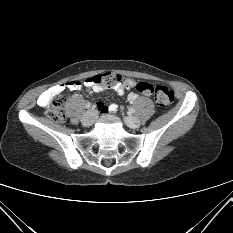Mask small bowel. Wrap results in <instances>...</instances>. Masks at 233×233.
Wrapping results in <instances>:
<instances>
[{"instance_id":"1","label":"small bowel","mask_w":233,"mask_h":233,"mask_svg":"<svg viewBox=\"0 0 233 233\" xmlns=\"http://www.w3.org/2000/svg\"><path fill=\"white\" fill-rule=\"evenodd\" d=\"M133 85L134 83L132 81L125 80V82L117 84L113 86L111 89L121 95L124 93L126 88L131 87ZM82 88H85L89 93L100 92L104 89L102 86L92 85L91 79H86L83 85L77 81H70L64 84L54 86L42 92L37 99V103L39 106H48L52 96L59 92H62L64 89L80 90ZM136 98H137L136 93L131 92L128 95L129 102L135 101ZM97 107L100 113H108V112L114 113L118 110V106L115 104H112L110 106H105L103 103H98Z\"/></svg>"}]
</instances>
